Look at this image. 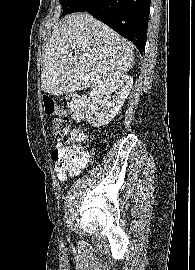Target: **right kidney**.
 I'll return each instance as SVG.
<instances>
[{
	"label": "right kidney",
	"instance_id": "right-kidney-1",
	"mask_svg": "<svg viewBox=\"0 0 195 270\" xmlns=\"http://www.w3.org/2000/svg\"><path fill=\"white\" fill-rule=\"evenodd\" d=\"M133 85V78L123 75L103 81L89 95L85 115L93 127L108 124L119 112ZM114 95L111 97V94Z\"/></svg>",
	"mask_w": 195,
	"mask_h": 270
}]
</instances>
